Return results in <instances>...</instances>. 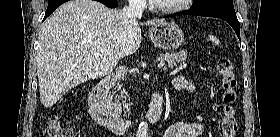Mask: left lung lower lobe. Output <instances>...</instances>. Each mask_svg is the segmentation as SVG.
<instances>
[{
	"label": "left lung lower lobe",
	"instance_id": "0a47b994",
	"mask_svg": "<svg viewBox=\"0 0 280 137\" xmlns=\"http://www.w3.org/2000/svg\"><path fill=\"white\" fill-rule=\"evenodd\" d=\"M196 15V16H208L216 17L228 22L235 30L238 38H240V26L236 13L223 11V10H189L175 15ZM173 16V15H172Z\"/></svg>",
	"mask_w": 280,
	"mask_h": 137
}]
</instances>
